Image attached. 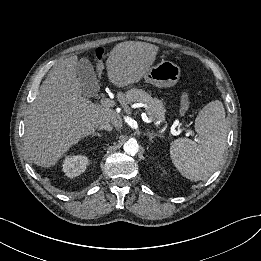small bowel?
Returning <instances> with one entry per match:
<instances>
[{"mask_svg": "<svg viewBox=\"0 0 261 261\" xmlns=\"http://www.w3.org/2000/svg\"><path fill=\"white\" fill-rule=\"evenodd\" d=\"M190 105L189 96L186 92H183L180 98V106L182 108L181 113H185Z\"/></svg>", "mask_w": 261, "mask_h": 261, "instance_id": "obj_1", "label": "small bowel"}]
</instances>
